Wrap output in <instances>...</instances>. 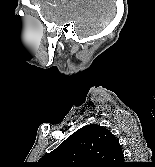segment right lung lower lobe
<instances>
[{
	"mask_svg": "<svg viewBox=\"0 0 155 167\" xmlns=\"http://www.w3.org/2000/svg\"><path fill=\"white\" fill-rule=\"evenodd\" d=\"M126 166H127V164H125V163H124V164H123V165H121L120 167H126Z\"/></svg>",
	"mask_w": 155,
	"mask_h": 167,
	"instance_id": "98d812e1",
	"label": "right lung lower lobe"
}]
</instances>
